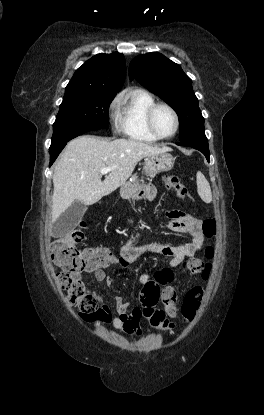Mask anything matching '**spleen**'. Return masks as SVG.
I'll use <instances>...</instances> for the list:
<instances>
[{"instance_id": "obj_1", "label": "spleen", "mask_w": 264, "mask_h": 415, "mask_svg": "<svg viewBox=\"0 0 264 415\" xmlns=\"http://www.w3.org/2000/svg\"><path fill=\"white\" fill-rule=\"evenodd\" d=\"M196 182H197V191L200 198L205 203H210L212 201V193L209 182L203 175L201 171H198L196 174Z\"/></svg>"}]
</instances>
